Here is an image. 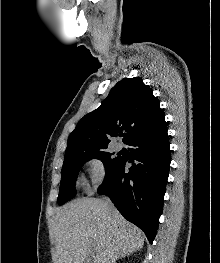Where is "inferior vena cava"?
<instances>
[{"label":"inferior vena cava","mask_w":220,"mask_h":263,"mask_svg":"<svg viewBox=\"0 0 220 263\" xmlns=\"http://www.w3.org/2000/svg\"><path fill=\"white\" fill-rule=\"evenodd\" d=\"M105 204H106V206H107L108 211H111V210L114 208L112 202H111L110 199H108V198H106Z\"/></svg>","instance_id":"inferior-vena-cava-1"}]
</instances>
